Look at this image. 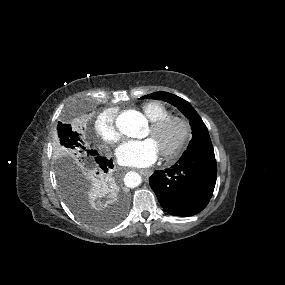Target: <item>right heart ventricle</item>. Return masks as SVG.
Listing matches in <instances>:
<instances>
[{
  "mask_svg": "<svg viewBox=\"0 0 285 285\" xmlns=\"http://www.w3.org/2000/svg\"><path fill=\"white\" fill-rule=\"evenodd\" d=\"M143 114L152 122L170 115V109L159 101H149L141 106Z\"/></svg>",
  "mask_w": 285,
  "mask_h": 285,
  "instance_id": "right-heart-ventricle-1",
  "label": "right heart ventricle"
}]
</instances>
